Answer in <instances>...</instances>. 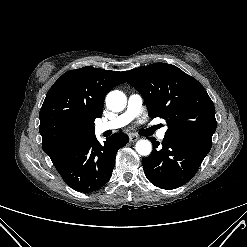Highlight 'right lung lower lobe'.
<instances>
[{
	"mask_svg": "<svg viewBox=\"0 0 247 247\" xmlns=\"http://www.w3.org/2000/svg\"><path fill=\"white\" fill-rule=\"evenodd\" d=\"M128 141V137L116 133L101 145L95 135H91L71 145L53 164L71 188L79 192H93L110 179L116 153Z\"/></svg>",
	"mask_w": 247,
	"mask_h": 247,
	"instance_id": "right-lung-lower-lobe-1",
	"label": "right lung lower lobe"
}]
</instances>
